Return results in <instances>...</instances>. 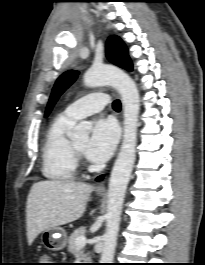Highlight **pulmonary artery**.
<instances>
[{
    "instance_id": "obj_1",
    "label": "pulmonary artery",
    "mask_w": 205,
    "mask_h": 265,
    "mask_svg": "<svg viewBox=\"0 0 205 265\" xmlns=\"http://www.w3.org/2000/svg\"><path fill=\"white\" fill-rule=\"evenodd\" d=\"M109 103V97L105 93L89 94L71 105H69L63 112V115L70 120L77 121L86 116L103 110Z\"/></svg>"
}]
</instances>
